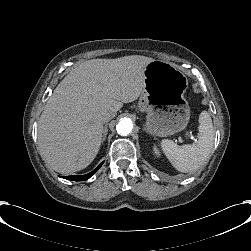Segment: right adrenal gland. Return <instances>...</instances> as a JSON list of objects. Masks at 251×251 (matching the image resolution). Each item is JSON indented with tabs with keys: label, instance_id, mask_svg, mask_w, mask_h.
Masks as SVG:
<instances>
[{
	"label": "right adrenal gland",
	"instance_id": "obj_1",
	"mask_svg": "<svg viewBox=\"0 0 251 251\" xmlns=\"http://www.w3.org/2000/svg\"><path fill=\"white\" fill-rule=\"evenodd\" d=\"M107 133H108V128H107V126L105 125V126H104V129H103L102 142L105 141L106 136H107Z\"/></svg>",
	"mask_w": 251,
	"mask_h": 251
}]
</instances>
